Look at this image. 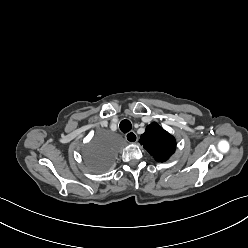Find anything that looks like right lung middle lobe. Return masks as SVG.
I'll use <instances>...</instances> for the list:
<instances>
[{
  "label": "right lung middle lobe",
  "instance_id": "obj_1",
  "mask_svg": "<svg viewBox=\"0 0 248 248\" xmlns=\"http://www.w3.org/2000/svg\"><path fill=\"white\" fill-rule=\"evenodd\" d=\"M111 149L101 140L83 148V156L87 161L89 170L101 172L105 170L111 159Z\"/></svg>",
  "mask_w": 248,
  "mask_h": 248
}]
</instances>
